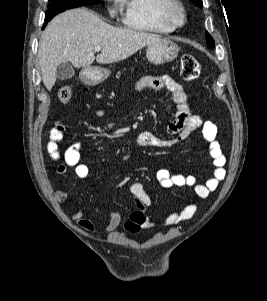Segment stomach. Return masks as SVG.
Masks as SVG:
<instances>
[{"label": "stomach", "mask_w": 267, "mask_h": 301, "mask_svg": "<svg viewBox=\"0 0 267 301\" xmlns=\"http://www.w3.org/2000/svg\"><path fill=\"white\" fill-rule=\"evenodd\" d=\"M179 47L174 42L167 39H160L147 45L146 57L149 62L159 65L171 62L177 58ZM86 71V81L90 84H98L110 76V71L104 68H88Z\"/></svg>", "instance_id": "obj_1"}]
</instances>
